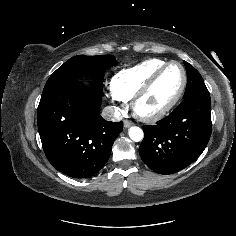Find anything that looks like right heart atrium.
<instances>
[{
    "instance_id": "obj_1",
    "label": "right heart atrium",
    "mask_w": 236,
    "mask_h": 236,
    "mask_svg": "<svg viewBox=\"0 0 236 236\" xmlns=\"http://www.w3.org/2000/svg\"><path fill=\"white\" fill-rule=\"evenodd\" d=\"M109 101L116 112H120L124 107L123 101L117 98L114 94L109 96Z\"/></svg>"
}]
</instances>
